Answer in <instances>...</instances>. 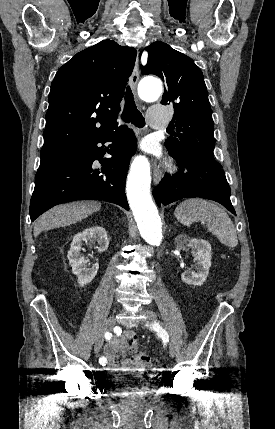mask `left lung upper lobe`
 <instances>
[{
	"label": "left lung upper lobe",
	"mask_w": 275,
	"mask_h": 429,
	"mask_svg": "<svg viewBox=\"0 0 275 429\" xmlns=\"http://www.w3.org/2000/svg\"><path fill=\"white\" fill-rule=\"evenodd\" d=\"M146 50L148 62L141 69L165 82L161 104L172 105L175 111L170 123L175 131L166 139L169 152L176 157H214L212 110L202 71L191 58L164 42H154Z\"/></svg>",
	"instance_id": "left-lung-upper-lobe-1"
}]
</instances>
